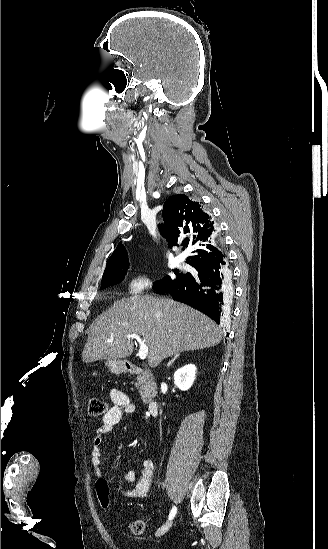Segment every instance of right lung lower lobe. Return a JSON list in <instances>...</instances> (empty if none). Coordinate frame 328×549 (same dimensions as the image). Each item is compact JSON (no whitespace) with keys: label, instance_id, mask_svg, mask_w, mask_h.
<instances>
[{"label":"right lung lower lobe","instance_id":"obj_1","mask_svg":"<svg viewBox=\"0 0 328 549\" xmlns=\"http://www.w3.org/2000/svg\"><path fill=\"white\" fill-rule=\"evenodd\" d=\"M194 268L196 274L160 293H170L174 299L205 313L217 324H223V295L230 284V271L225 256L198 264Z\"/></svg>","mask_w":328,"mask_h":549}]
</instances>
